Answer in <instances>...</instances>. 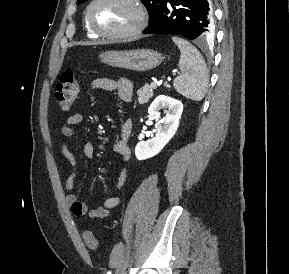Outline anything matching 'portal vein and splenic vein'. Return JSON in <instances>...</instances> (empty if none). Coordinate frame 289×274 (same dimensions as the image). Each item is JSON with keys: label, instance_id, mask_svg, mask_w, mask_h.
I'll use <instances>...</instances> for the list:
<instances>
[{"label": "portal vein and splenic vein", "instance_id": "18ae733b", "mask_svg": "<svg viewBox=\"0 0 289 274\" xmlns=\"http://www.w3.org/2000/svg\"><path fill=\"white\" fill-rule=\"evenodd\" d=\"M161 81H159V82H157V81H153L152 83H151V86L153 87V88H156L158 85H161Z\"/></svg>", "mask_w": 289, "mask_h": 274}]
</instances>
